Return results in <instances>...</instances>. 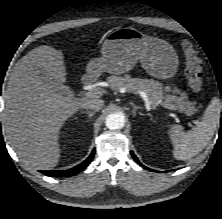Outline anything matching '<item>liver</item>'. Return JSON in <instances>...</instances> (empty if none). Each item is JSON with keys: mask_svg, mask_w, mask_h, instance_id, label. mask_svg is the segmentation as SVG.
<instances>
[{"mask_svg": "<svg viewBox=\"0 0 222 219\" xmlns=\"http://www.w3.org/2000/svg\"><path fill=\"white\" fill-rule=\"evenodd\" d=\"M37 69L61 83L66 81L60 50L43 45L28 52L15 64L9 78L3 126L9 144L25 166L51 169L59 162L58 139L63 124L96 98L63 96L41 80Z\"/></svg>", "mask_w": 222, "mask_h": 219, "instance_id": "1", "label": "liver"}]
</instances>
